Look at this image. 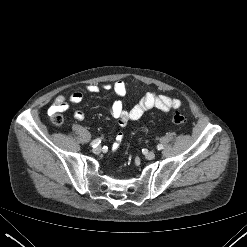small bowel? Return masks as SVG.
<instances>
[{
    "label": "small bowel",
    "instance_id": "c3829d8e",
    "mask_svg": "<svg viewBox=\"0 0 247 247\" xmlns=\"http://www.w3.org/2000/svg\"><path fill=\"white\" fill-rule=\"evenodd\" d=\"M104 88L111 89L118 97H124L127 92L126 84L123 81H116L113 84L105 85ZM90 93H97L100 91V87L95 84L88 85L86 87ZM83 100V94L80 92L73 93L69 99H66L63 95H58L53 105L50 107L49 112L54 114L56 112H63L69 108L70 104H78ZM181 107V101L177 98H171L164 95H157L153 92L145 94V96L132 108L126 110L121 100H116L111 108L110 114L113 118L118 120L120 126H125L130 121L140 119L147 111L151 109H157L161 112H169L172 109H178ZM74 118L78 121L84 119V113L77 111L74 114ZM123 138L122 133H118L115 138V142L112 145V150L116 151L120 145L119 137Z\"/></svg>",
    "mask_w": 247,
    "mask_h": 247
}]
</instances>
